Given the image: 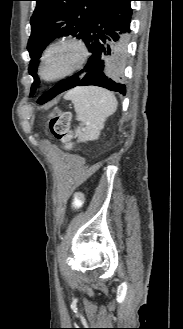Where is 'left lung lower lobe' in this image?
I'll return each instance as SVG.
<instances>
[{
  "mask_svg": "<svg viewBox=\"0 0 183 329\" xmlns=\"http://www.w3.org/2000/svg\"><path fill=\"white\" fill-rule=\"evenodd\" d=\"M131 1L134 0H112L100 10L82 39L90 52L86 66L43 94L38 100L40 104L76 86L94 85L126 94L125 85L111 75L118 72L119 67L116 62L114 65L110 62L117 60L119 47L115 42L119 35L129 31Z\"/></svg>",
  "mask_w": 183,
  "mask_h": 329,
  "instance_id": "left-lung-lower-lobe-1",
  "label": "left lung lower lobe"
}]
</instances>
